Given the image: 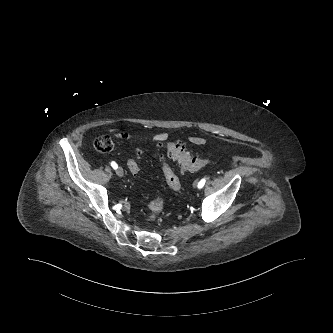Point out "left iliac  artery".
I'll return each mask as SVG.
<instances>
[{
    "label": "left iliac artery",
    "instance_id": "obj_1",
    "mask_svg": "<svg viewBox=\"0 0 333 333\" xmlns=\"http://www.w3.org/2000/svg\"><path fill=\"white\" fill-rule=\"evenodd\" d=\"M205 182H206V180H205V178H203V179L198 183L197 187H198L199 189L203 188V186L205 185Z\"/></svg>",
    "mask_w": 333,
    "mask_h": 333
}]
</instances>
